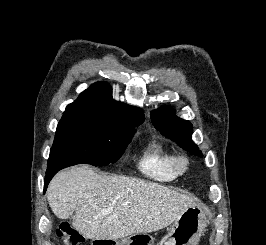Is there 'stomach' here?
I'll return each instance as SVG.
<instances>
[{"instance_id": "obj_1", "label": "stomach", "mask_w": 266, "mask_h": 245, "mask_svg": "<svg viewBox=\"0 0 266 245\" xmlns=\"http://www.w3.org/2000/svg\"><path fill=\"white\" fill-rule=\"evenodd\" d=\"M205 227L207 219L202 209L189 207L174 221L159 245H198ZM110 245H154V239L148 233H134L130 237H122L121 241H111Z\"/></svg>"}]
</instances>
